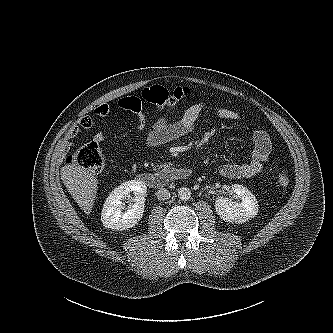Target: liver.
<instances>
[{"mask_svg": "<svg viewBox=\"0 0 333 333\" xmlns=\"http://www.w3.org/2000/svg\"><path fill=\"white\" fill-rule=\"evenodd\" d=\"M61 179L73 199L89 215L98 190L95 173L78 164H67L61 168Z\"/></svg>", "mask_w": 333, "mask_h": 333, "instance_id": "liver-1", "label": "liver"}]
</instances>
